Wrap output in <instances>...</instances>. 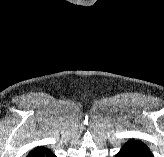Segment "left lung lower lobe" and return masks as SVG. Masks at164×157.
I'll use <instances>...</instances> for the list:
<instances>
[{"label": "left lung lower lobe", "mask_w": 164, "mask_h": 157, "mask_svg": "<svg viewBox=\"0 0 164 157\" xmlns=\"http://www.w3.org/2000/svg\"><path fill=\"white\" fill-rule=\"evenodd\" d=\"M115 157H154L149 148L141 141L130 140Z\"/></svg>", "instance_id": "0a47b994"}]
</instances>
